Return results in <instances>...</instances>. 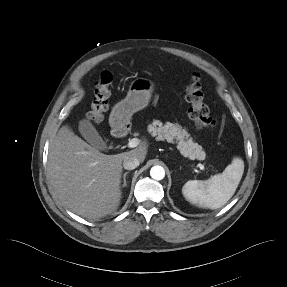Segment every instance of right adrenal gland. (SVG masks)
Here are the masks:
<instances>
[{
    "label": "right adrenal gland",
    "mask_w": 287,
    "mask_h": 287,
    "mask_svg": "<svg viewBox=\"0 0 287 287\" xmlns=\"http://www.w3.org/2000/svg\"><path fill=\"white\" fill-rule=\"evenodd\" d=\"M127 174H128V172H125L123 174V185H122V187H125L127 185V183H126V176H127Z\"/></svg>",
    "instance_id": "1"
}]
</instances>
